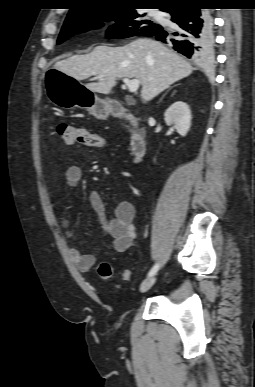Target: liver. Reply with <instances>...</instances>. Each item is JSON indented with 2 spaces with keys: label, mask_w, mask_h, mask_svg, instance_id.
Here are the masks:
<instances>
[{
  "label": "liver",
  "mask_w": 255,
  "mask_h": 387,
  "mask_svg": "<svg viewBox=\"0 0 255 387\" xmlns=\"http://www.w3.org/2000/svg\"><path fill=\"white\" fill-rule=\"evenodd\" d=\"M55 68L78 81L101 75L85 87L102 94H109L120 78L138 79L144 101L152 100L193 71L185 59L148 38H138L122 47L100 45L89 54L58 61Z\"/></svg>",
  "instance_id": "liver-1"
}]
</instances>
